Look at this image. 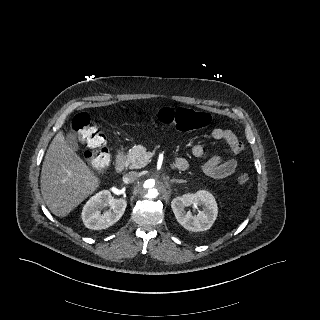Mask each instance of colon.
<instances>
[{
    "mask_svg": "<svg viewBox=\"0 0 320 320\" xmlns=\"http://www.w3.org/2000/svg\"><path fill=\"white\" fill-rule=\"evenodd\" d=\"M159 121L180 131H195L204 129L211 123V116L207 112L197 111L185 107H166L158 113ZM72 130L85 145V158L95 170L102 172L110 166V158L106 146V138L99 125L86 113L78 114L72 121ZM250 180L247 173L237 177L239 184H246Z\"/></svg>",
    "mask_w": 320,
    "mask_h": 320,
    "instance_id": "1",
    "label": "colon"
}]
</instances>
